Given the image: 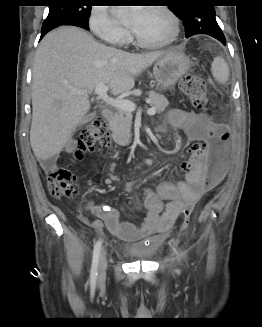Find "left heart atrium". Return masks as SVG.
Returning a JSON list of instances; mask_svg holds the SVG:
<instances>
[{
  "label": "left heart atrium",
  "mask_w": 262,
  "mask_h": 327,
  "mask_svg": "<svg viewBox=\"0 0 262 327\" xmlns=\"http://www.w3.org/2000/svg\"><path fill=\"white\" fill-rule=\"evenodd\" d=\"M146 10L147 8H141V7L132 8L129 11V17L132 23L134 24L137 23L141 19V17L143 16Z\"/></svg>",
  "instance_id": "left-heart-atrium-1"
}]
</instances>
